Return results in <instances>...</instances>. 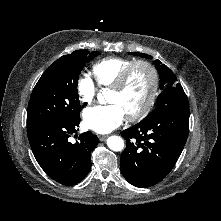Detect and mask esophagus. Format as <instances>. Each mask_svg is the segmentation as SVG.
<instances>
[{
  "label": "esophagus",
  "instance_id": "1",
  "mask_svg": "<svg viewBox=\"0 0 221 221\" xmlns=\"http://www.w3.org/2000/svg\"><path fill=\"white\" fill-rule=\"evenodd\" d=\"M106 139H107V136H105V135H100L99 136L100 141H105Z\"/></svg>",
  "mask_w": 221,
  "mask_h": 221
}]
</instances>
